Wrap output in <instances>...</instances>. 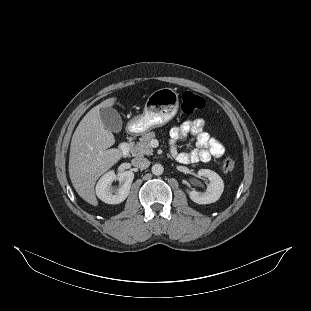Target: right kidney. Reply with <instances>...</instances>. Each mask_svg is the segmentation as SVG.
Segmentation results:
<instances>
[{"label":"right kidney","instance_id":"right-kidney-1","mask_svg":"<svg viewBox=\"0 0 311 311\" xmlns=\"http://www.w3.org/2000/svg\"><path fill=\"white\" fill-rule=\"evenodd\" d=\"M133 179L134 173L132 171H124L117 175L114 171H109L99 179L96 185V195L107 204H119L129 195ZM114 180L120 182V186L117 189L111 186Z\"/></svg>","mask_w":311,"mask_h":311}]
</instances>
